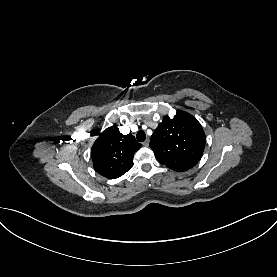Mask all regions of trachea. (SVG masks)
<instances>
[{"label":"trachea","mask_w":277,"mask_h":277,"mask_svg":"<svg viewBox=\"0 0 277 277\" xmlns=\"http://www.w3.org/2000/svg\"><path fill=\"white\" fill-rule=\"evenodd\" d=\"M136 138H137V140H138L139 142L145 141V139H146V134H145V132H144L143 130H139V131L137 132Z\"/></svg>","instance_id":"3493384b"}]
</instances>
